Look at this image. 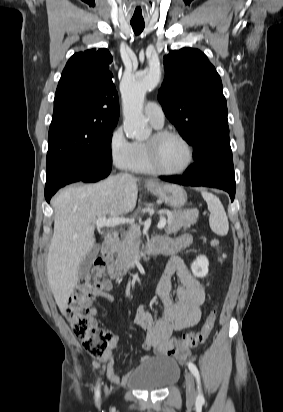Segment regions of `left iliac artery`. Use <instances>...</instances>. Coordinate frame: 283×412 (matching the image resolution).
Segmentation results:
<instances>
[{
	"label": "left iliac artery",
	"instance_id": "1",
	"mask_svg": "<svg viewBox=\"0 0 283 412\" xmlns=\"http://www.w3.org/2000/svg\"><path fill=\"white\" fill-rule=\"evenodd\" d=\"M188 368L191 371V373L193 374V376L196 378L197 381V388H198V396H197V401L203 402L204 401V397L201 391V383H200V375H199V371L197 369V367L191 363L188 362Z\"/></svg>",
	"mask_w": 283,
	"mask_h": 412
}]
</instances>
